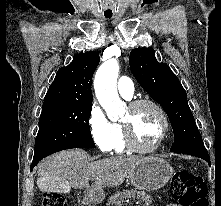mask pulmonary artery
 Listing matches in <instances>:
<instances>
[{
    "instance_id": "obj_1",
    "label": "pulmonary artery",
    "mask_w": 221,
    "mask_h": 206,
    "mask_svg": "<svg viewBox=\"0 0 221 206\" xmlns=\"http://www.w3.org/2000/svg\"><path fill=\"white\" fill-rule=\"evenodd\" d=\"M118 92L125 99H131L134 94V85L130 78L122 76L118 81Z\"/></svg>"
}]
</instances>
